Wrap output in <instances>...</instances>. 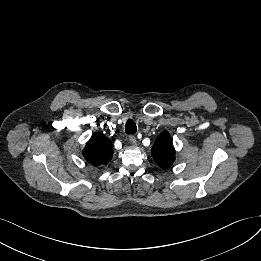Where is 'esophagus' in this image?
Listing matches in <instances>:
<instances>
[{
  "label": "esophagus",
  "instance_id": "obj_1",
  "mask_svg": "<svg viewBox=\"0 0 261 261\" xmlns=\"http://www.w3.org/2000/svg\"><path fill=\"white\" fill-rule=\"evenodd\" d=\"M129 141L133 144H136L137 143V140H136V137L134 135H130L129 136Z\"/></svg>",
  "mask_w": 261,
  "mask_h": 261
}]
</instances>
